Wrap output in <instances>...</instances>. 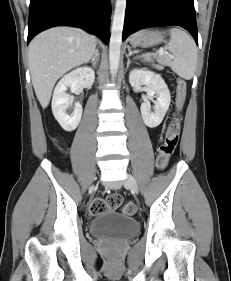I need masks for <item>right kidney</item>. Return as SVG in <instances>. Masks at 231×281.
<instances>
[{"label":"right kidney","mask_w":231,"mask_h":281,"mask_svg":"<svg viewBox=\"0 0 231 281\" xmlns=\"http://www.w3.org/2000/svg\"><path fill=\"white\" fill-rule=\"evenodd\" d=\"M94 79L95 73L92 69L80 67L66 74L56 85L52 98V112L64 130H75L80 123L83 111L82 105L75 103L72 114L66 113L71 106L70 95L66 93L67 88L69 87L71 92H76L81 88L91 87Z\"/></svg>","instance_id":"obj_1"}]
</instances>
